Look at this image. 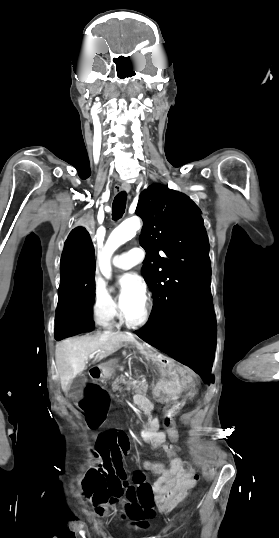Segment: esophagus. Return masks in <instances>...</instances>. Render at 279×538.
<instances>
[{
  "label": "esophagus",
  "mask_w": 279,
  "mask_h": 538,
  "mask_svg": "<svg viewBox=\"0 0 279 538\" xmlns=\"http://www.w3.org/2000/svg\"><path fill=\"white\" fill-rule=\"evenodd\" d=\"M121 188H122V190L125 191V192H129V191H130V185H129V183H127V182H123Z\"/></svg>",
  "instance_id": "34e87169"
}]
</instances>
